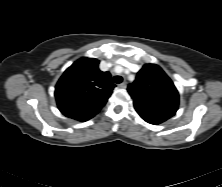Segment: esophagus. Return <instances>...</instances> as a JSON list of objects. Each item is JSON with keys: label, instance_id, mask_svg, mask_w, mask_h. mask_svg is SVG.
I'll return each instance as SVG.
<instances>
[{"label": "esophagus", "instance_id": "1", "mask_svg": "<svg viewBox=\"0 0 222 187\" xmlns=\"http://www.w3.org/2000/svg\"><path fill=\"white\" fill-rule=\"evenodd\" d=\"M127 87L126 82L119 84V88L125 89Z\"/></svg>", "mask_w": 222, "mask_h": 187}]
</instances>
